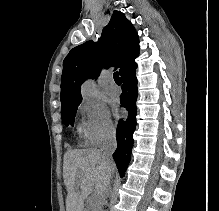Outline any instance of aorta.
Listing matches in <instances>:
<instances>
[{
	"label": "aorta",
	"instance_id": "aorta-1",
	"mask_svg": "<svg viewBox=\"0 0 219 211\" xmlns=\"http://www.w3.org/2000/svg\"><path fill=\"white\" fill-rule=\"evenodd\" d=\"M81 91H82V95L88 100L97 99L99 96V92L94 87L91 81L84 82Z\"/></svg>",
	"mask_w": 219,
	"mask_h": 211
}]
</instances>
